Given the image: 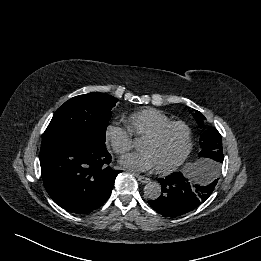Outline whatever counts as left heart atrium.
I'll return each mask as SVG.
<instances>
[{"label":"left heart atrium","instance_id":"1","mask_svg":"<svg viewBox=\"0 0 261 261\" xmlns=\"http://www.w3.org/2000/svg\"><path fill=\"white\" fill-rule=\"evenodd\" d=\"M120 164L136 172L146 171L156 167L151 154L144 150L126 155L120 160Z\"/></svg>","mask_w":261,"mask_h":261}]
</instances>
